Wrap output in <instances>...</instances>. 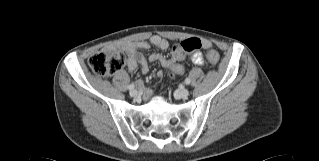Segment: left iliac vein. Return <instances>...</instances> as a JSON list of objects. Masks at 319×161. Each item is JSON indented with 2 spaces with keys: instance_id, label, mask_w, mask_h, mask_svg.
Here are the masks:
<instances>
[{
  "instance_id": "obj_1",
  "label": "left iliac vein",
  "mask_w": 319,
  "mask_h": 161,
  "mask_svg": "<svg viewBox=\"0 0 319 161\" xmlns=\"http://www.w3.org/2000/svg\"><path fill=\"white\" fill-rule=\"evenodd\" d=\"M189 95V90L184 88V89H180L178 91H176L175 93V97L178 99H185L187 98Z\"/></svg>"
}]
</instances>
